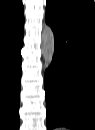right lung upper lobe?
<instances>
[{"instance_id":"cb5924a9","label":"right lung upper lobe","mask_w":95,"mask_h":130,"mask_svg":"<svg viewBox=\"0 0 95 130\" xmlns=\"http://www.w3.org/2000/svg\"><path fill=\"white\" fill-rule=\"evenodd\" d=\"M22 0H0V38L23 28Z\"/></svg>"}]
</instances>
